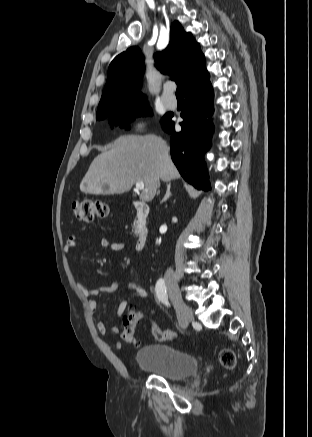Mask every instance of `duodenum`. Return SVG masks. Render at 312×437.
I'll return each mask as SVG.
<instances>
[{
	"instance_id": "duodenum-1",
	"label": "duodenum",
	"mask_w": 312,
	"mask_h": 437,
	"mask_svg": "<svg viewBox=\"0 0 312 437\" xmlns=\"http://www.w3.org/2000/svg\"><path fill=\"white\" fill-rule=\"evenodd\" d=\"M135 215V226L138 230V235L135 242V248L137 251H143L147 245V234L145 232V223L149 215V206L147 203L142 201L134 202Z\"/></svg>"
}]
</instances>
